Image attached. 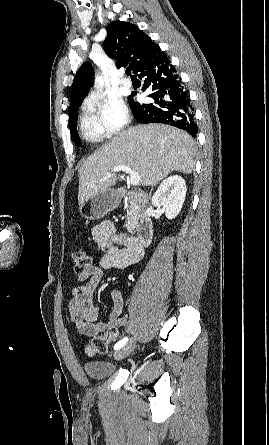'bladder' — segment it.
Instances as JSON below:
<instances>
[{
	"label": "bladder",
	"mask_w": 269,
	"mask_h": 445,
	"mask_svg": "<svg viewBox=\"0 0 269 445\" xmlns=\"http://www.w3.org/2000/svg\"><path fill=\"white\" fill-rule=\"evenodd\" d=\"M85 374L92 379H105L114 371V366L107 361H89L84 363Z\"/></svg>",
	"instance_id": "obj_1"
}]
</instances>
